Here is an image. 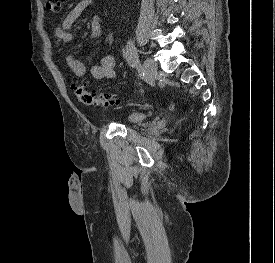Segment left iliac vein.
Segmentation results:
<instances>
[{
  "label": "left iliac vein",
  "mask_w": 275,
  "mask_h": 263,
  "mask_svg": "<svg viewBox=\"0 0 275 263\" xmlns=\"http://www.w3.org/2000/svg\"><path fill=\"white\" fill-rule=\"evenodd\" d=\"M157 63L151 57H147L142 65V72L149 81H153L157 75Z\"/></svg>",
  "instance_id": "left-iliac-vein-1"
}]
</instances>
